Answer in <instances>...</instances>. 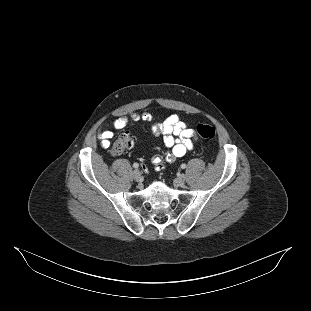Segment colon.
<instances>
[{"label":"colon","instance_id":"colon-1","mask_svg":"<svg viewBox=\"0 0 311 311\" xmlns=\"http://www.w3.org/2000/svg\"><path fill=\"white\" fill-rule=\"evenodd\" d=\"M198 135L206 140H213L216 132L215 128L210 125H199L197 127ZM135 142L134 137L129 132L122 133L109 148L112 156H118L130 149Z\"/></svg>","mask_w":311,"mask_h":311}]
</instances>
